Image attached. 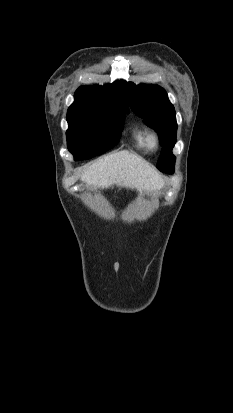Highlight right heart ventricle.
<instances>
[{"label": "right heart ventricle", "mask_w": 233, "mask_h": 413, "mask_svg": "<svg viewBox=\"0 0 233 413\" xmlns=\"http://www.w3.org/2000/svg\"><path fill=\"white\" fill-rule=\"evenodd\" d=\"M130 133L134 145L138 149H148V131L147 129L139 122H132L130 125Z\"/></svg>", "instance_id": "e07e8e85"}]
</instances>
